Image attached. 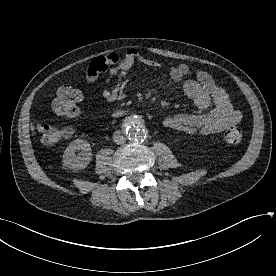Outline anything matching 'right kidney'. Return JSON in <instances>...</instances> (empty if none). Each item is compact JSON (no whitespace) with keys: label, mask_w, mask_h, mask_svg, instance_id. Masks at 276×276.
<instances>
[{"label":"right kidney","mask_w":276,"mask_h":276,"mask_svg":"<svg viewBox=\"0 0 276 276\" xmlns=\"http://www.w3.org/2000/svg\"><path fill=\"white\" fill-rule=\"evenodd\" d=\"M76 151H81L76 155ZM92 160L91 147L88 141L76 139L65 149L63 164L72 170L85 169Z\"/></svg>","instance_id":"obj_1"}]
</instances>
